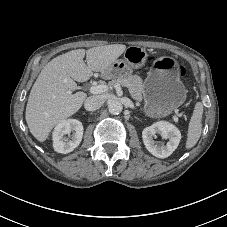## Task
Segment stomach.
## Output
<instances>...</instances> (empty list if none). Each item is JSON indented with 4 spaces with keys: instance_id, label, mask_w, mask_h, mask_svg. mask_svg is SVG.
Segmentation results:
<instances>
[{
    "instance_id": "1",
    "label": "stomach",
    "mask_w": 227,
    "mask_h": 227,
    "mask_svg": "<svg viewBox=\"0 0 227 227\" xmlns=\"http://www.w3.org/2000/svg\"><path fill=\"white\" fill-rule=\"evenodd\" d=\"M147 52L139 46H130L124 58L116 60L102 72L108 79L124 78L133 69L142 67L147 60ZM187 96V89L180 81L178 64L171 57L157 59L144 82V112L152 118L166 117L181 106Z\"/></svg>"
}]
</instances>
